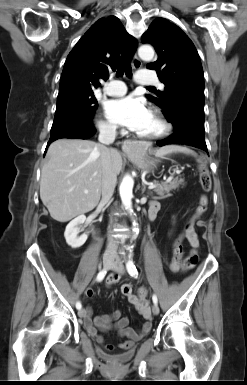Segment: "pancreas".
<instances>
[{"label":"pancreas","instance_id":"pancreas-1","mask_svg":"<svg viewBox=\"0 0 247 385\" xmlns=\"http://www.w3.org/2000/svg\"><path fill=\"white\" fill-rule=\"evenodd\" d=\"M180 185H185L184 179L176 177L170 182H165L162 184L156 183V187L153 189V191L161 198H164L166 196H170V192L172 190L178 189Z\"/></svg>","mask_w":247,"mask_h":385}]
</instances>
